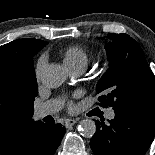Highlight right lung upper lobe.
<instances>
[{"label":"right lung upper lobe","mask_w":155,"mask_h":155,"mask_svg":"<svg viewBox=\"0 0 155 155\" xmlns=\"http://www.w3.org/2000/svg\"><path fill=\"white\" fill-rule=\"evenodd\" d=\"M46 44L47 42L45 41L24 38L0 46V75L9 72L17 62L24 58L33 57ZM34 123L36 122L31 118L28 122L27 128ZM15 142L16 141L11 143L0 142V154L9 155Z\"/></svg>","instance_id":"1"}]
</instances>
